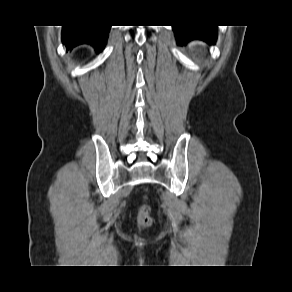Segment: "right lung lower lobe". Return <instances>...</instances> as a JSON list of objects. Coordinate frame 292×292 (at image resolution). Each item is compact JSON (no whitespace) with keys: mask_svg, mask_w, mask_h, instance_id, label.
I'll return each mask as SVG.
<instances>
[{"mask_svg":"<svg viewBox=\"0 0 292 292\" xmlns=\"http://www.w3.org/2000/svg\"><path fill=\"white\" fill-rule=\"evenodd\" d=\"M110 26L108 25H78L64 26L62 36L66 49H72L79 44H90L100 52L107 40Z\"/></svg>","mask_w":292,"mask_h":292,"instance_id":"1","label":"right lung lower lobe"}]
</instances>
